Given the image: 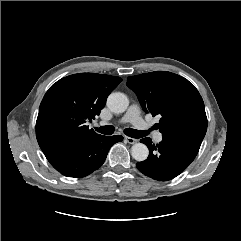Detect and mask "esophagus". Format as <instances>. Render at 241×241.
Here are the masks:
<instances>
[{
  "mask_svg": "<svg viewBox=\"0 0 241 241\" xmlns=\"http://www.w3.org/2000/svg\"><path fill=\"white\" fill-rule=\"evenodd\" d=\"M125 140L129 143V144H135L137 143V139L131 138V137H125Z\"/></svg>",
  "mask_w": 241,
  "mask_h": 241,
  "instance_id": "obj_1",
  "label": "esophagus"
}]
</instances>
